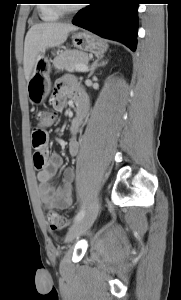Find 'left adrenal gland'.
Returning <instances> with one entry per match:
<instances>
[{"label": "left adrenal gland", "instance_id": "obj_1", "mask_svg": "<svg viewBox=\"0 0 181 300\" xmlns=\"http://www.w3.org/2000/svg\"><path fill=\"white\" fill-rule=\"evenodd\" d=\"M102 59H103V55H101L100 57H97V59L92 63V65L90 66V69H89L90 73H89L88 77H91L93 75V73L97 67L104 66L108 63V61H101Z\"/></svg>", "mask_w": 181, "mask_h": 300}]
</instances>
